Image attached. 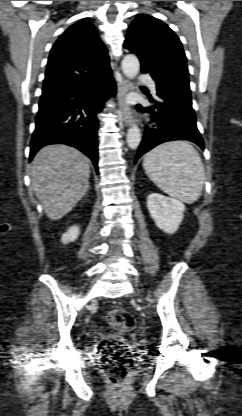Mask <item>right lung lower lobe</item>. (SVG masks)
I'll return each mask as SVG.
<instances>
[{"mask_svg": "<svg viewBox=\"0 0 242 416\" xmlns=\"http://www.w3.org/2000/svg\"><path fill=\"white\" fill-rule=\"evenodd\" d=\"M116 85L111 70L59 88L43 90L30 160L43 146L64 143L87 155L98 170L97 115Z\"/></svg>", "mask_w": 242, "mask_h": 416, "instance_id": "98d812e1", "label": "right lung lower lobe"}]
</instances>
